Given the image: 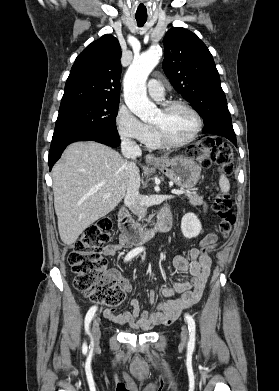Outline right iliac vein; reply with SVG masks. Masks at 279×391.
Instances as JSON below:
<instances>
[{"instance_id": "obj_1", "label": "right iliac vein", "mask_w": 279, "mask_h": 391, "mask_svg": "<svg viewBox=\"0 0 279 391\" xmlns=\"http://www.w3.org/2000/svg\"><path fill=\"white\" fill-rule=\"evenodd\" d=\"M92 333H93V342L94 344H97L101 335L100 324L98 319H95L93 322Z\"/></svg>"}]
</instances>
